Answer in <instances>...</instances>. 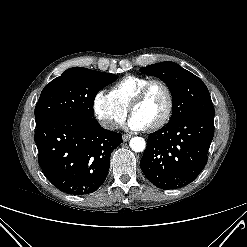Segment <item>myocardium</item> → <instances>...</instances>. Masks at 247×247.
Instances as JSON below:
<instances>
[{
    "label": "myocardium",
    "mask_w": 247,
    "mask_h": 247,
    "mask_svg": "<svg viewBox=\"0 0 247 247\" xmlns=\"http://www.w3.org/2000/svg\"><path fill=\"white\" fill-rule=\"evenodd\" d=\"M155 86H159L164 90L167 97V108L161 119L149 126L150 129H158L163 127L172 117L174 110V95L170 86L160 79L150 80L137 92L129 105V110L133 113L135 107L145 100L151 89Z\"/></svg>",
    "instance_id": "myocardium-1"
}]
</instances>
